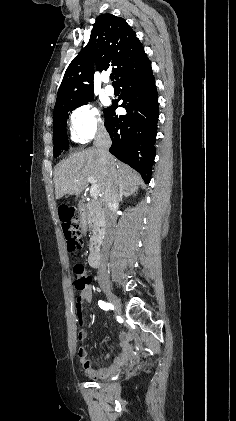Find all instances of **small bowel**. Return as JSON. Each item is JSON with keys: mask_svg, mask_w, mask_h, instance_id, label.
I'll use <instances>...</instances> for the list:
<instances>
[{"mask_svg": "<svg viewBox=\"0 0 236 421\" xmlns=\"http://www.w3.org/2000/svg\"><path fill=\"white\" fill-rule=\"evenodd\" d=\"M91 300H92V291H91L90 287H87L84 291H82L80 293L78 303H77L78 311H80V308L83 306V304L90 303ZM85 336H86V331L81 330L79 332V339H83V338H85ZM127 345H128V343H127ZM79 357H80V360H81L83 366L88 370L89 369V360L86 357L85 350H84V354L82 356H79Z\"/></svg>", "mask_w": 236, "mask_h": 421, "instance_id": "c3829d8e", "label": "small bowel"}]
</instances>
